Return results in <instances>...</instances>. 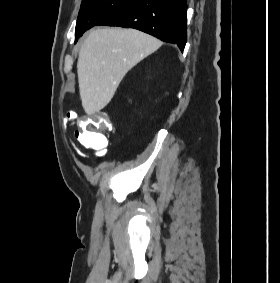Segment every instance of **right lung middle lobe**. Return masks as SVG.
I'll return each mask as SVG.
<instances>
[{
    "label": "right lung middle lobe",
    "instance_id": "obj_1",
    "mask_svg": "<svg viewBox=\"0 0 280 283\" xmlns=\"http://www.w3.org/2000/svg\"><path fill=\"white\" fill-rule=\"evenodd\" d=\"M134 0H82L75 29V43L82 34Z\"/></svg>",
    "mask_w": 280,
    "mask_h": 283
}]
</instances>
